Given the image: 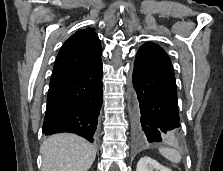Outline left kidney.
<instances>
[{
  "label": "left kidney",
  "mask_w": 223,
  "mask_h": 171,
  "mask_svg": "<svg viewBox=\"0 0 223 171\" xmlns=\"http://www.w3.org/2000/svg\"><path fill=\"white\" fill-rule=\"evenodd\" d=\"M172 171L169 168H166L165 166H162L161 164H159L156 160L145 156L142 157L138 164H137V168L136 171Z\"/></svg>",
  "instance_id": "obj_1"
}]
</instances>
